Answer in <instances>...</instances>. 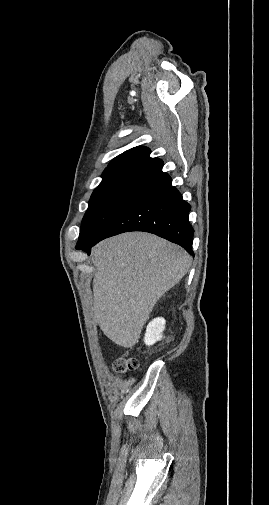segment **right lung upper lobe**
I'll return each mask as SVG.
<instances>
[{
    "label": "right lung upper lobe",
    "mask_w": 269,
    "mask_h": 505,
    "mask_svg": "<svg viewBox=\"0 0 269 505\" xmlns=\"http://www.w3.org/2000/svg\"><path fill=\"white\" fill-rule=\"evenodd\" d=\"M150 150L138 146L112 160L102 174L99 187H129L141 189L162 174L163 161L151 158Z\"/></svg>",
    "instance_id": "1"
}]
</instances>
